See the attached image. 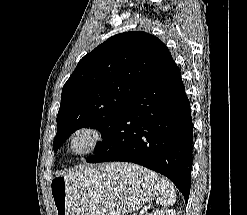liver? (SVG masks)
I'll list each match as a JSON object with an SVG mask.
<instances>
[{
  "label": "liver",
  "mask_w": 247,
  "mask_h": 215,
  "mask_svg": "<svg viewBox=\"0 0 247 215\" xmlns=\"http://www.w3.org/2000/svg\"><path fill=\"white\" fill-rule=\"evenodd\" d=\"M111 168V164H106L105 169L108 170ZM83 168L76 169L75 172L82 170ZM73 174V173H72Z\"/></svg>",
  "instance_id": "6515ba94"
}]
</instances>
